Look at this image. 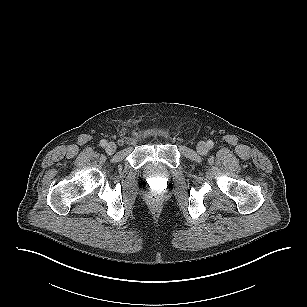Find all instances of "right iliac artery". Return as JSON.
Masks as SVG:
<instances>
[{"mask_svg": "<svg viewBox=\"0 0 307 307\" xmlns=\"http://www.w3.org/2000/svg\"><path fill=\"white\" fill-rule=\"evenodd\" d=\"M106 144H107V141H106V140H101V141H100V146H101V147H105Z\"/></svg>", "mask_w": 307, "mask_h": 307, "instance_id": "obj_1", "label": "right iliac artery"}]
</instances>
